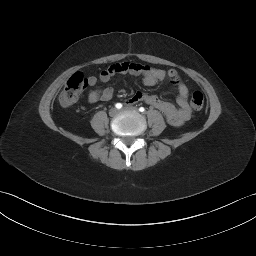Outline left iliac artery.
Masks as SVG:
<instances>
[{
  "instance_id": "44dca946",
  "label": "left iliac artery",
  "mask_w": 256,
  "mask_h": 256,
  "mask_svg": "<svg viewBox=\"0 0 256 256\" xmlns=\"http://www.w3.org/2000/svg\"><path fill=\"white\" fill-rule=\"evenodd\" d=\"M139 111H140V112H144V111H145V108H144V107H140V108H139Z\"/></svg>"
}]
</instances>
